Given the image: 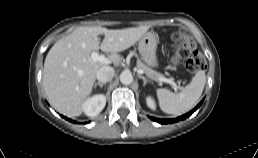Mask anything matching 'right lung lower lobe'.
Segmentation results:
<instances>
[{"mask_svg":"<svg viewBox=\"0 0 258 158\" xmlns=\"http://www.w3.org/2000/svg\"><path fill=\"white\" fill-rule=\"evenodd\" d=\"M66 120H70V119L66 118ZM70 121H71V120H70ZM72 122H74V121H72Z\"/></svg>","mask_w":258,"mask_h":158,"instance_id":"right-lung-lower-lobe-1","label":"right lung lower lobe"}]
</instances>
